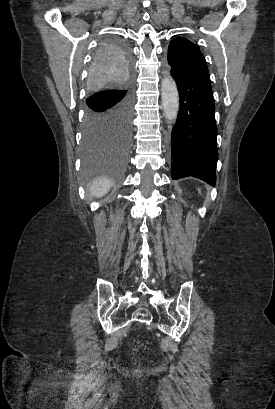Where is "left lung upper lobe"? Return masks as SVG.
Masks as SVG:
<instances>
[{"mask_svg":"<svg viewBox=\"0 0 275 409\" xmlns=\"http://www.w3.org/2000/svg\"><path fill=\"white\" fill-rule=\"evenodd\" d=\"M168 64L172 71L188 75L211 84L206 60L198 46L185 38L177 37L170 42Z\"/></svg>","mask_w":275,"mask_h":409,"instance_id":"obj_1","label":"left lung upper lobe"}]
</instances>
